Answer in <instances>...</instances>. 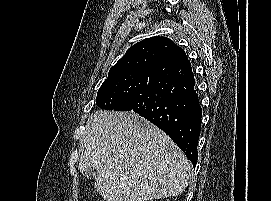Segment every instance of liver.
<instances>
[{"label": "liver", "instance_id": "obj_1", "mask_svg": "<svg viewBox=\"0 0 271 201\" xmlns=\"http://www.w3.org/2000/svg\"><path fill=\"white\" fill-rule=\"evenodd\" d=\"M95 168L94 188L106 201L177 196L188 185L190 163L154 124L133 112L97 111L86 124L80 172Z\"/></svg>", "mask_w": 271, "mask_h": 201}]
</instances>
